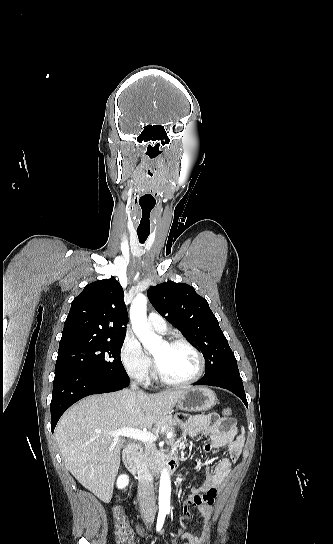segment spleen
Wrapping results in <instances>:
<instances>
[{"label": "spleen", "instance_id": "3e777b00", "mask_svg": "<svg viewBox=\"0 0 333 544\" xmlns=\"http://www.w3.org/2000/svg\"><path fill=\"white\" fill-rule=\"evenodd\" d=\"M245 430H244V427H242V433L244 434Z\"/></svg>", "mask_w": 333, "mask_h": 544}]
</instances>
